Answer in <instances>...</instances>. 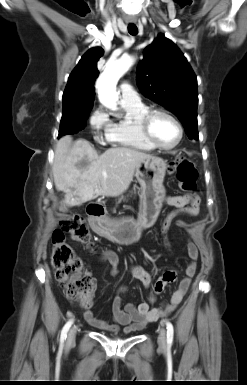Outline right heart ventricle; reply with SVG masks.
Instances as JSON below:
<instances>
[{"instance_id": "1", "label": "right heart ventricle", "mask_w": 247, "mask_h": 385, "mask_svg": "<svg viewBox=\"0 0 247 385\" xmlns=\"http://www.w3.org/2000/svg\"><path fill=\"white\" fill-rule=\"evenodd\" d=\"M125 117L111 124L107 133V140L114 145L137 149L141 151H153L155 148L144 138L140 127V118L149 110L143 104H123Z\"/></svg>"}]
</instances>
